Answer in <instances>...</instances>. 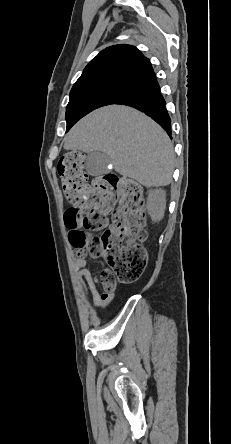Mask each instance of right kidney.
Here are the masks:
<instances>
[{
  "mask_svg": "<svg viewBox=\"0 0 231 444\" xmlns=\"http://www.w3.org/2000/svg\"><path fill=\"white\" fill-rule=\"evenodd\" d=\"M165 207V191L161 189L150 190L147 198V210L151 219L154 221H160L164 216Z\"/></svg>",
  "mask_w": 231,
  "mask_h": 444,
  "instance_id": "1",
  "label": "right kidney"
}]
</instances>
